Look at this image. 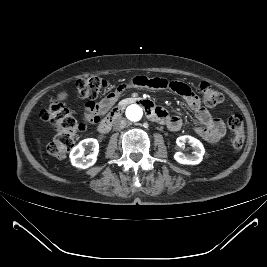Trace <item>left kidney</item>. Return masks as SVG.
Masks as SVG:
<instances>
[{"mask_svg": "<svg viewBox=\"0 0 267 267\" xmlns=\"http://www.w3.org/2000/svg\"><path fill=\"white\" fill-rule=\"evenodd\" d=\"M176 143L178 146L183 147L186 143L190 144L194 148V155H185L182 152H176L174 155V159L183 165H195L199 164L205 153V149L203 144L196 138L184 135L177 138Z\"/></svg>", "mask_w": 267, "mask_h": 267, "instance_id": "5707ae66", "label": "left kidney"}]
</instances>
